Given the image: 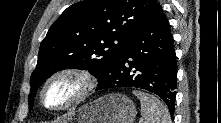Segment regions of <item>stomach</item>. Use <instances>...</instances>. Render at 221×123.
Masks as SVG:
<instances>
[{"instance_id": "1", "label": "stomach", "mask_w": 221, "mask_h": 123, "mask_svg": "<svg viewBox=\"0 0 221 123\" xmlns=\"http://www.w3.org/2000/svg\"><path fill=\"white\" fill-rule=\"evenodd\" d=\"M134 103L125 95L111 93L82 105L66 116L65 123H133Z\"/></svg>"}]
</instances>
